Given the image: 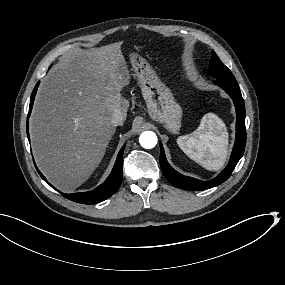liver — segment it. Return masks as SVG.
<instances>
[{"label":"liver","mask_w":285,"mask_h":285,"mask_svg":"<svg viewBox=\"0 0 285 285\" xmlns=\"http://www.w3.org/2000/svg\"><path fill=\"white\" fill-rule=\"evenodd\" d=\"M121 42L64 53L41 80L30 117L35 161L63 192L83 184L102 161L116 128L113 113L126 117L121 89L130 82Z\"/></svg>","instance_id":"liver-1"}]
</instances>
